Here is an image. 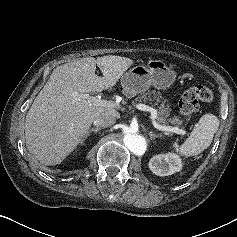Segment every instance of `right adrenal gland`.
Here are the masks:
<instances>
[{"instance_id": "1", "label": "right adrenal gland", "mask_w": 237, "mask_h": 237, "mask_svg": "<svg viewBox=\"0 0 237 237\" xmlns=\"http://www.w3.org/2000/svg\"><path fill=\"white\" fill-rule=\"evenodd\" d=\"M100 130H101L100 127L91 128L90 130H88V131L86 132V134L84 135V137L82 138L81 144H84V141L87 139V137H88L92 132H94L95 134H97Z\"/></svg>"}]
</instances>
